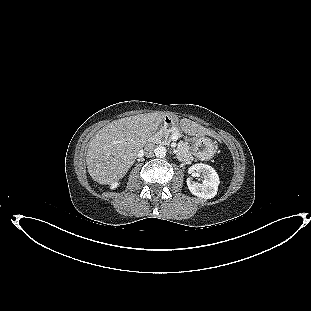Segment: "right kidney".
Returning a JSON list of instances; mask_svg holds the SVG:
<instances>
[{"instance_id":"obj_1","label":"right kidney","mask_w":311,"mask_h":311,"mask_svg":"<svg viewBox=\"0 0 311 311\" xmlns=\"http://www.w3.org/2000/svg\"><path fill=\"white\" fill-rule=\"evenodd\" d=\"M117 186H118V183L116 182L112 184V188H116Z\"/></svg>"}]
</instances>
